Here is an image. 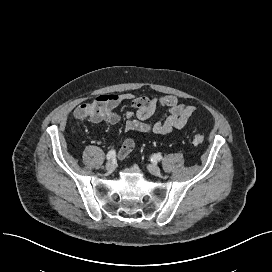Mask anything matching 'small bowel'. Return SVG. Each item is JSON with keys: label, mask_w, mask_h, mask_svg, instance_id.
I'll return each mask as SVG.
<instances>
[{"label": "small bowel", "mask_w": 272, "mask_h": 272, "mask_svg": "<svg viewBox=\"0 0 272 272\" xmlns=\"http://www.w3.org/2000/svg\"><path fill=\"white\" fill-rule=\"evenodd\" d=\"M126 102H130L135 109L134 112H125L127 121L124 129L126 132L163 136L173 130L182 129L195 113L193 106L183 104L177 96L172 94L147 97L132 93H116L99 95L93 101L78 106L73 112V117L77 120H88L94 123L116 124L120 120L117 108ZM159 106L166 108L165 115L155 123L148 122ZM134 147L135 142L132 138L125 139L118 150V158H125L133 151Z\"/></svg>", "instance_id": "1"}]
</instances>
